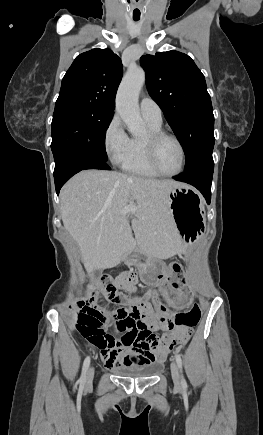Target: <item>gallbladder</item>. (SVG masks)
Returning a JSON list of instances; mask_svg holds the SVG:
<instances>
[{"label": "gallbladder", "instance_id": "bac80fb5", "mask_svg": "<svg viewBox=\"0 0 263 435\" xmlns=\"http://www.w3.org/2000/svg\"><path fill=\"white\" fill-rule=\"evenodd\" d=\"M101 273H102L101 269L94 270V272H93V278L97 279L101 275Z\"/></svg>", "mask_w": 263, "mask_h": 435}]
</instances>
